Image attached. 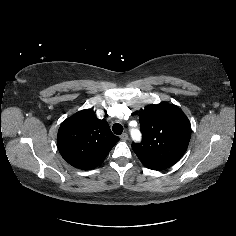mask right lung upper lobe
<instances>
[{
	"label": "right lung upper lobe",
	"instance_id": "1",
	"mask_svg": "<svg viewBox=\"0 0 236 236\" xmlns=\"http://www.w3.org/2000/svg\"><path fill=\"white\" fill-rule=\"evenodd\" d=\"M118 140L105 120L98 119L91 109H86L60 125L57 146L70 165L90 170L102 163Z\"/></svg>",
	"mask_w": 236,
	"mask_h": 236
}]
</instances>
